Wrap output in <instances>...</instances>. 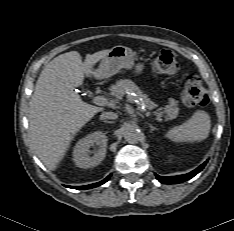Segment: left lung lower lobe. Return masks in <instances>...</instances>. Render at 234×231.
Listing matches in <instances>:
<instances>
[{
    "label": "left lung lower lobe",
    "mask_w": 234,
    "mask_h": 231,
    "mask_svg": "<svg viewBox=\"0 0 234 231\" xmlns=\"http://www.w3.org/2000/svg\"><path fill=\"white\" fill-rule=\"evenodd\" d=\"M208 161L204 162L202 165H200L197 169L193 170L192 172L184 175L179 176H171V177H162L156 174V178L161 182L165 184H175V183H181L184 181H187L194 177L196 174H198L206 165Z\"/></svg>",
    "instance_id": "0a47b994"
}]
</instances>
